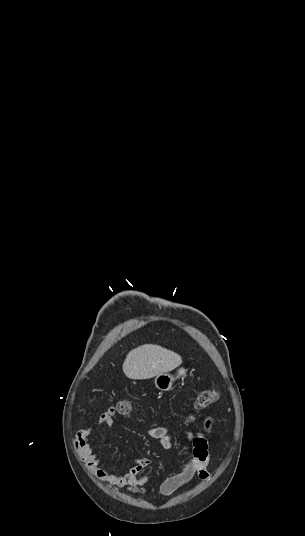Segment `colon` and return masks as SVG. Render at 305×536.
Returning <instances> with one entry per match:
<instances>
[{"mask_svg":"<svg viewBox=\"0 0 305 536\" xmlns=\"http://www.w3.org/2000/svg\"><path fill=\"white\" fill-rule=\"evenodd\" d=\"M219 399V392L217 389L203 390L198 393L195 399V403L192 407L193 412L206 410L211 404L215 403ZM114 405L116 412L115 416H123L132 410V404L128 400L120 399Z\"/></svg>","mask_w":305,"mask_h":536,"instance_id":"1","label":"colon"}]
</instances>
